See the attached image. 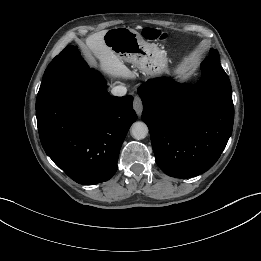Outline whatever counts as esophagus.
I'll use <instances>...</instances> for the list:
<instances>
[{
    "mask_svg": "<svg viewBox=\"0 0 261 261\" xmlns=\"http://www.w3.org/2000/svg\"><path fill=\"white\" fill-rule=\"evenodd\" d=\"M133 108H134V110H135V112L137 113L138 116H140L142 114L143 103H142V100L139 96L134 97Z\"/></svg>",
    "mask_w": 261,
    "mask_h": 261,
    "instance_id": "34e87169",
    "label": "esophagus"
}]
</instances>
